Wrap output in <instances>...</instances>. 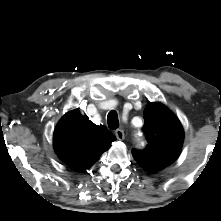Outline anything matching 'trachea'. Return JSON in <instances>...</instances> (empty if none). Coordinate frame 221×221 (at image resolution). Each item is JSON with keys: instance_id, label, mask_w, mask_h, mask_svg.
Here are the masks:
<instances>
[{"instance_id": "1", "label": "trachea", "mask_w": 221, "mask_h": 221, "mask_svg": "<svg viewBox=\"0 0 221 221\" xmlns=\"http://www.w3.org/2000/svg\"><path fill=\"white\" fill-rule=\"evenodd\" d=\"M108 127L112 130L119 127V120L116 111L109 112L107 116Z\"/></svg>"}]
</instances>
